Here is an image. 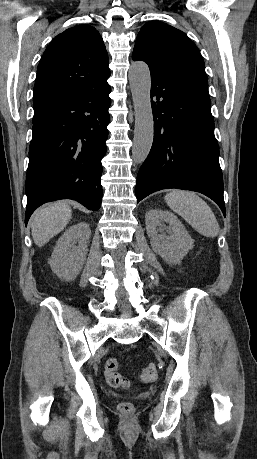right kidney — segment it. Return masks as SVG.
<instances>
[{"instance_id":"obj_1","label":"right kidney","mask_w":257,"mask_h":459,"mask_svg":"<svg viewBox=\"0 0 257 459\" xmlns=\"http://www.w3.org/2000/svg\"><path fill=\"white\" fill-rule=\"evenodd\" d=\"M90 234L89 224L79 222L59 238L49 260L52 271L58 277L71 281L80 273L86 260Z\"/></svg>"}]
</instances>
